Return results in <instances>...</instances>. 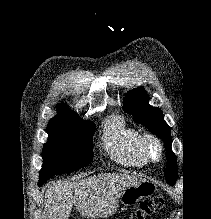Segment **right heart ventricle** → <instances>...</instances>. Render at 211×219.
<instances>
[{"mask_svg":"<svg viewBox=\"0 0 211 219\" xmlns=\"http://www.w3.org/2000/svg\"><path fill=\"white\" fill-rule=\"evenodd\" d=\"M140 132L119 115L111 116L104 128L103 146L117 163L139 168L147 164L139 151Z\"/></svg>","mask_w":211,"mask_h":219,"instance_id":"1","label":"right heart ventricle"}]
</instances>
